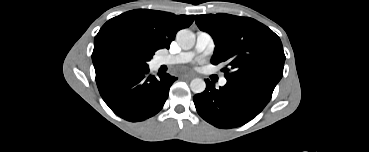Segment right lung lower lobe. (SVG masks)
<instances>
[{"label": "right lung lower lobe", "mask_w": 369, "mask_h": 152, "mask_svg": "<svg viewBox=\"0 0 369 152\" xmlns=\"http://www.w3.org/2000/svg\"><path fill=\"white\" fill-rule=\"evenodd\" d=\"M175 80L176 77L167 73L156 78L149 74L147 67L123 70L96 82L110 109L121 118L136 122L162 109Z\"/></svg>", "instance_id": "right-lung-lower-lobe-1"}]
</instances>
